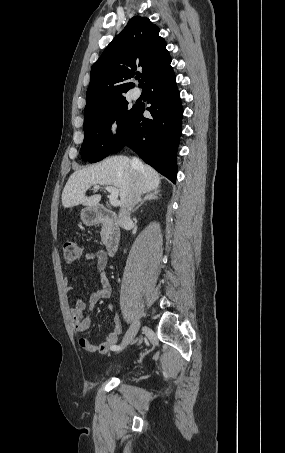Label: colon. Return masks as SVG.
I'll return each instance as SVG.
<instances>
[{
	"label": "colon",
	"instance_id": "obj_1",
	"mask_svg": "<svg viewBox=\"0 0 285 453\" xmlns=\"http://www.w3.org/2000/svg\"><path fill=\"white\" fill-rule=\"evenodd\" d=\"M63 254L68 262H73L81 257L82 248L75 240H67L63 244Z\"/></svg>",
	"mask_w": 285,
	"mask_h": 453
}]
</instances>
